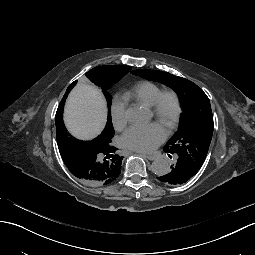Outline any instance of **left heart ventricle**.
Instances as JSON below:
<instances>
[{
	"instance_id": "left-heart-ventricle-1",
	"label": "left heart ventricle",
	"mask_w": 255,
	"mask_h": 255,
	"mask_svg": "<svg viewBox=\"0 0 255 255\" xmlns=\"http://www.w3.org/2000/svg\"><path fill=\"white\" fill-rule=\"evenodd\" d=\"M172 113V102L170 99H167L164 104V117L162 121L157 124V126L166 134L169 123H170V116Z\"/></svg>"
}]
</instances>
